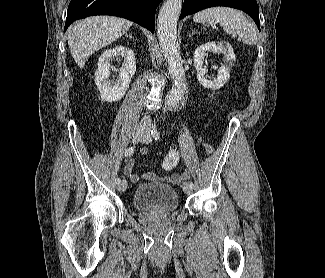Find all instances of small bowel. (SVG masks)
<instances>
[{"instance_id":"obj_1","label":"small bowel","mask_w":325,"mask_h":278,"mask_svg":"<svg viewBox=\"0 0 325 278\" xmlns=\"http://www.w3.org/2000/svg\"><path fill=\"white\" fill-rule=\"evenodd\" d=\"M203 148L207 151V152H211L212 151V147L207 144V143H203L202 144ZM149 152V150L147 148H142L140 150V154L141 155H147ZM134 165H135V162L134 160H130L124 167V175L129 177L130 181L132 183H138L139 180L142 178V179H146V180H149V179H155L156 176L154 174H151V173H147V174H143L142 176H139L138 174L134 173ZM189 177V173L188 172H183L181 174H173L171 177H170V180L172 182H180L184 179H187Z\"/></svg>"}]
</instances>
